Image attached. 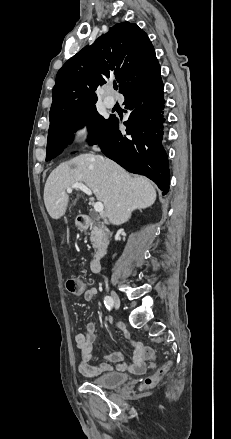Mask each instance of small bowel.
<instances>
[{"instance_id":"obj_1","label":"small bowel","mask_w":231,"mask_h":439,"mask_svg":"<svg viewBox=\"0 0 231 439\" xmlns=\"http://www.w3.org/2000/svg\"><path fill=\"white\" fill-rule=\"evenodd\" d=\"M98 293L96 288H89L83 293L85 301H91ZM124 337L130 338V334L124 330ZM96 339V326L90 322L86 325V332L75 335V343L79 350L80 363L78 365L79 371L85 376H97L102 373L112 370L110 362H116L117 370H129L134 373H142L146 368L144 357L145 346L142 342H136L134 345L133 359L130 364L122 362V355L120 353H113L107 357L108 362H103L97 366L91 365L89 362L92 359L93 343Z\"/></svg>"}]
</instances>
